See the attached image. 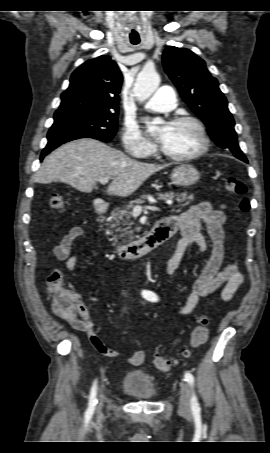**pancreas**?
Wrapping results in <instances>:
<instances>
[{"label":"pancreas","instance_id":"cf45deb5","mask_svg":"<svg viewBox=\"0 0 270 453\" xmlns=\"http://www.w3.org/2000/svg\"><path fill=\"white\" fill-rule=\"evenodd\" d=\"M149 195H143L141 198H137L133 201H131L126 207L124 208H117L115 212L112 214V221L110 224V229L111 230H106V235H111L113 236V231L116 233H121L119 235H114L112 238H110V241L117 242L118 239L120 238H127V239H133L134 232L131 231V225L133 222H131V216L132 212L131 209L133 208L134 204H142L144 203V199H146ZM159 199L163 200H173L175 199L179 205H178V210L180 211L183 207L189 205L191 201L193 200L192 195H188L187 192L183 193H165V194H159L158 195Z\"/></svg>","mask_w":270,"mask_h":453}]
</instances>
